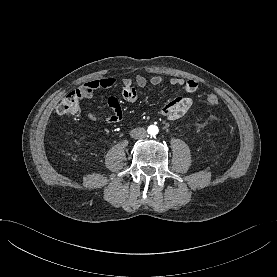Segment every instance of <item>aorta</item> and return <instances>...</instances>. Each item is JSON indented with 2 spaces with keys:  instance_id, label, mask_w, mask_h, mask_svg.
Returning a JSON list of instances; mask_svg holds the SVG:
<instances>
[{
  "instance_id": "aorta-1",
  "label": "aorta",
  "mask_w": 277,
  "mask_h": 277,
  "mask_svg": "<svg viewBox=\"0 0 277 277\" xmlns=\"http://www.w3.org/2000/svg\"><path fill=\"white\" fill-rule=\"evenodd\" d=\"M149 133L152 135L157 134V127H155V126L149 127Z\"/></svg>"
}]
</instances>
